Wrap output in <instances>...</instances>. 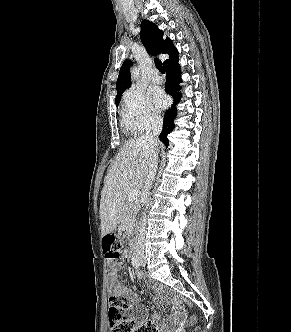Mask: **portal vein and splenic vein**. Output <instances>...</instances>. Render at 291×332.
<instances>
[{
	"mask_svg": "<svg viewBox=\"0 0 291 332\" xmlns=\"http://www.w3.org/2000/svg\"><path fill=\"white\" fill-rule=\"evenodd\" d=\"M138 198H139V190L134 189L128 193L127 199L129 202L137 201Z\"/></svg>",
	"mask_w": 291,
	"mask_h": 332,
	"instance_id": "18ae733b",
	"label": "portal vein and splenic vein"
}]
</instances>
